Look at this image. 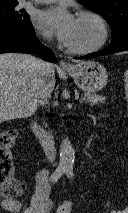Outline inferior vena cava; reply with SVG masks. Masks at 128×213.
<instances>
[{
  "mask_svg": "<svg viewBox=\"0 0 128 213\" xmlns=\"http://www.w3.org/2000/svg\"><path fill=\"white\" fill-rule=\"evenodd\" d=\"M37 67L39 71V80L37 85V97L38 102L42 106L49 104L51 98L52 89L47 83V77L49 75L52 65L42 60H37Z\"/></svg>",
  "mask_w": 128,
  "mask_h": 213,
  "instance_id": "602c4592",
  "label": "inferior vena cava"
}]
</instances>
